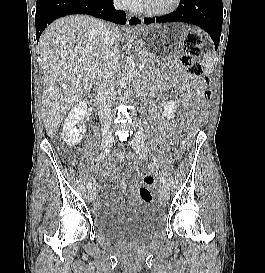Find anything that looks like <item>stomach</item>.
<instances>
[{
	"label": "stomach",
	"mask_w": 265,
	"mask_h": 273,
	"mask_svg": "<svg viewBox=\"0 0 265 273\" xmlns=\"http://www.w3.org/2000/svg\"><path fill=\"white\" fill-rule=\"evenodd\" d=\"M188 30H195V25H156L139 29L136 31L139 44H134V49L146 50L141 55L144 64H171L177 55L173 49H178Z\"/></svg>",
	"instance_id": "1"
}]
</instances>
